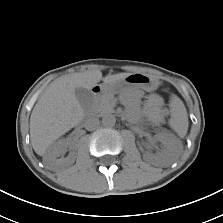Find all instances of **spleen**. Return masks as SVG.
<instances>
[{"label": "spleen", "mask_w": 223, "mask_h": 223, "mask_svg": "<svg viewBox=\"0 0 223 223\" xmlns=\"http://www.w3.org/2000/svg\"><path fill=\"white\" fill-rule=\"evenodd\" d=\"M172 107V126L176 132L183 136L188 128V116L183 102L177 97L173 96L171 100Z\"/></svg>", "instance_id": "spleen-1"}]
</instances>
